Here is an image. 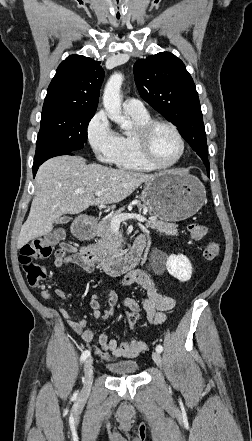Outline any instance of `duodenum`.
Here are the masks:
<instances>
[{"instance_id": "obj_1", "label": "duodenum", "mask_w": 252, "mask_h": 441, "mask_svg": "<svg viewBox=\"0 0 252 441\" xmlns=\"http://www.w3.org/2000/svg\"><path fill=\"white\" fill-rule=\"evenodd\" d=\"M97 223L94 216L87 217L86 224L76 223L73 225L72 232L77 238L89 239L92 235V227ZM145 245V239L142 238L136 245L122 256H111L108 254H99L92 247H81L80 257L85 261L98 265L108 275H118L123 272L131 271L140 261V257Z\"/></svg>"}]
</instances>
